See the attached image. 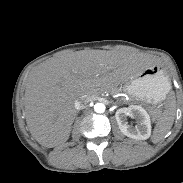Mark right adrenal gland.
<instances>
[{
    "label": "right adrenal gland",
    "instance_id": "1",
    "mask_svg": "<svg viewBox=\"0 0 183 183\" xmlns=\"http://www.w3.org/2000/svg\"><path fill=\"white\" fill-rule=\"evenodd\" d=\"M78 113H79V111H76V116H77Z\"/></svg>",
    "mask_w": 183,
    "mask_h": 183
}]
</instances>
